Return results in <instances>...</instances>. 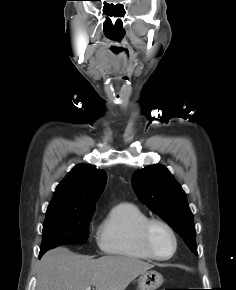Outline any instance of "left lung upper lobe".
Segmentation results:
<instances>
[{
    "label": "left lung upper lobe",
    "mask_w": 236,
    "mask_h": 290,
    "mask_svg": "<svg viewBox=\"0 0 236 290\" xmlns=\"http://www.w3.org/2000/svg\"><path fill=\"white\" fill-rule=\"evenodd\" d=\"M133 186L139 199L166 221L197 255L193 214L185 192L163 165H151L136 170Z\"/></svg>",
    "instance_id": "left-lung-upper-lobe-1"
}]
</instances>
